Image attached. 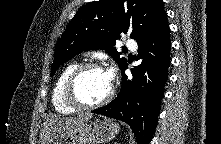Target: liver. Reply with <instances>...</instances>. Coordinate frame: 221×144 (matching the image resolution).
Returning a JSON list of instances; mask_svg holds the SVG:
<instances>
[{"mask_svg":"<svg viewBox=\"0 0 221 144\" xmlns=\"http://www.w3.org/2000/svg\"><path fill=\"white\" fill-rule=\"evenodd\" d=\"M92 118L91 114L75 117H52L43 124L40 134V144H46L54 135L70 128L84 125Z\"/></svg>","mask_w":221,"mask_h":144,"instance_id":"liver-1","label":"liver"}]
</instances>
